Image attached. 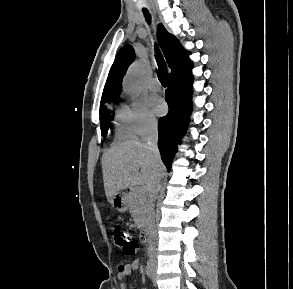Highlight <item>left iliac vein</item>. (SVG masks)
<instances>
[{
  "mask_svg": "<svg viewBox=\"0 0 293 289\" xmlns=\"http://www.w3.org/2000/svg\"><path fill=\"white\" fill-rule=\"evenodd\" d=\"M152 267H153L152 281H153V283H155V281H156V278H155L156 263L155 262H153Z\"/></svg>",
  "mask_w": 293,
  "mask_h": 289,
  "instance_id": "left-iliac-vein-1",
  "label": "left iliac vein"
}]
</instances>
